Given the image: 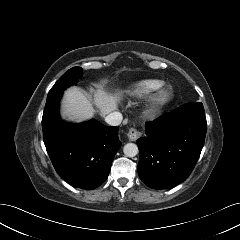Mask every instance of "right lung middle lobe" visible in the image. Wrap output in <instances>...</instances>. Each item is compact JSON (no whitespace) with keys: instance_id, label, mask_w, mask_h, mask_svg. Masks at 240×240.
Segmentation results:
<instances>
[{"instance_id":"obj_1","label":"right lung middle lobe","mask_w":240,"mask_h":240,"mask_svg":"<svg viewBox=\"0 0 240 240\" xmlns=\"http://www.w3.org/2000/svg\"><path fill=\"white\" fill-rule=\"evenodd\" d=\"M82 74V68L80 67H73L65 72L64 75L54 84L52 89L49 91L48 96H51L55 93L62 92L67 87L76 84L78 78Z\"/></svg>"}]
</instances>
